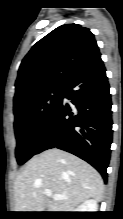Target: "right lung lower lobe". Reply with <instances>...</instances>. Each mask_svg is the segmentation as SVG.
Wrapping results in <instances>:
<instances>
[{"mask_svg": "<svg viewBox=\"0 0 123 219\" xmlns=\"http://www.w3.org/2000/svg\"><path fill=\"white\" fill-rule=\"evenodd\" d=\"M64 103L55 111L36 154L57 147L91 164L107 181L112 142L111 96L101 57L80 70L64 86Z\"/></svg>", "mask_w": 123, "mask_h": 219, "instance_id": "obj_1", "label": "right lung lower lobe"}]
</instances>
